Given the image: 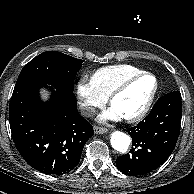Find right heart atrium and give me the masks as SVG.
Returning <instances> with one entry per match:
<instances>
[{
    "label": "right heart atrium",
    "mask_w": 194,
    "mask_h": 194,
    "mask_svg": "<svg viewBox=\"0 0 194 194\" xmlns=\"http://www.w3.org/2000/svg\"><path fill=\"white\" fill-rule=\"evenodd\" d=\"M75 93L80 111L85 116H90L96 108L106 102V99L95 89L91 79L86 76H81L76 82Z\"/></svg>",
    "instance_id": "1"
}]
</instances>
